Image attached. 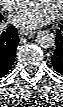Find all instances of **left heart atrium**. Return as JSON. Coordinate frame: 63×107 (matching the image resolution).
<instances>
[{
  "mask_svg": "<svg viewBox=\"0 0 63 107\" xmlns=\"http://www.w3.org/2000/svg\"><path fill=\"white\" fill-rule=\"evenodd\" d=\"M52 18V15L36 5L28 3L19 8L12 17V22L27 29L41 26Z\"/></svg>",
  "mask_w": 63,
  "mask_h": 107,
  "instance_id": "left-heart-atrium-1",
  "label": "left heart atrium"
}]
</instances>
